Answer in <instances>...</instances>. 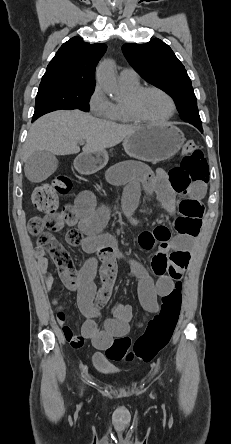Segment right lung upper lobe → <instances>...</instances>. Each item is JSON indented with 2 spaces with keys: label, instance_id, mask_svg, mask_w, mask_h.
Segmentation results:
<instances>
[{
  "label": "right lung upper lobe",
  "instance_id": "right-lung-upper-lobe-1",
  "mask_svg": "<svg viewBox=\"0 0 231 444\" xmlns=\"http://www.w3.org/2000/svg\"><path fill=\"white\" fill-rule=\"evenodd\" d=\"M107 46L89 44L80 37L65 42L47 66L39 88L95 87V68Z\"/></svg>",
  "mask_w": 231,
  "mask_h": 444
}]
</instances>
